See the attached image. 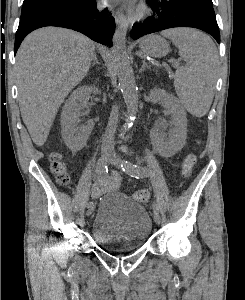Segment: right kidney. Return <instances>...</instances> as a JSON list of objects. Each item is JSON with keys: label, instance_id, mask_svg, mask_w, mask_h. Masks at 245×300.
I'll return each instance as SVG.
<instances>
[{"label": "right kidney", "instance_id": "ca27d5eb", "mask_svg": "<svg viewBox=\"0 0 245 300\" xmlns=\"http://www.w3.org/2000/svg\"><path fill=\"white\" fill-rule=\"evenodd\" d=\"M98 89L89 86H82L72 92L65 102L61 114V134L66 146L72 151L81 150L93 130V123H80V115L88 106L91 93H97Z\"/></svg>", "mask_w": 245, "mask_h": 300}]
</instances>
